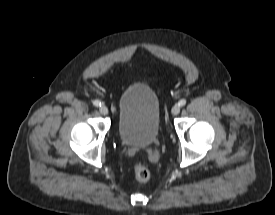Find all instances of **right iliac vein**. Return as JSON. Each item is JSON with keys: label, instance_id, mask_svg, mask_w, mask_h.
<instances>
[{"label": "right iliac vein", "instance_id": "obj_1", "mask_svg": "<svg viewBox=\"0 0 275 215\" xmlns=\"http://www.w3.org/2000/svg\"><path fill=\"white\" fill-rule=\"evenodd\" d=\"M99 111L102 115H107L108 114V108L105 105H102L99 107Z\"/></svg>", "mask_w": 275, "mask_h": 215}]
</instances>
